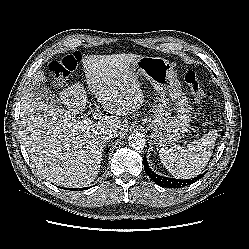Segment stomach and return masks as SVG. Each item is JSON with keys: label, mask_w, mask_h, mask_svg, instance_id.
Segmentation results:
<instances>
[{"label": "stomach", "mask_w": 249, "mask_h": 249, "mask_svg": "<svg viewBox=\"0 0 249 249\" xmlns=\"http://www.w3.org/2000/svg\"><path fill=\"white\" fill-rule=\"evenodd\" d=\"M137 76L145 77L160 96V103L145 123L152 130L156 145L178 142L187 131L190 105L185 99L173 65L161 57L142 56L131 65Z\"/></svg>", "instance_id": "obj_1"}]
</instances>
